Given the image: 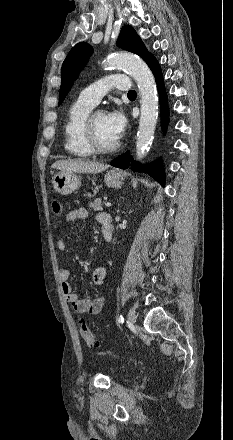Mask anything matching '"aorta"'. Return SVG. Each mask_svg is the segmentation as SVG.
Returning a JSON list of instances; mask_svg holds the SVG:
<instances>
[{
  "instance_id": "obj_1",
  "label": "aorta",
  "mask_w": 233,
  "mask_h": 440,
  "mask_svg": "<svg viewBox=\"0 0 233 440\" xmlns=\"http://www.w3.org/2000/svg\"><path fill=\"white\" fill-rule=\"evenodd\" d=\"M108 66L125 70L138 85L141 114L136 142V159L141 160L149 150L158 119V96L155 79L147 64L139 57L121 53L108 58Z\"/></svg>"
}]
</instances>
